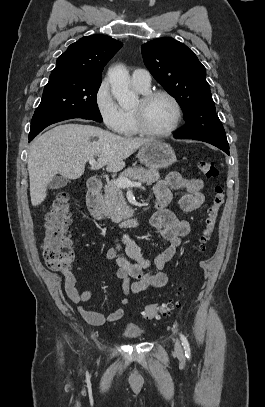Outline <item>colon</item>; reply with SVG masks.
I'll list each match as a JSON object with an SVG mask.
<instances>
[{
  "mask_svg": "<svg viewBox=\"0 0 265 407\" xmlns=\"http://www.w3.org/2000/svg\"><path fill=\"white\" fill-rule=\"evenodd\" d=\"M198 169L208 179L219 178V170L212 160L201 159ZM225 200L224 188L217 184L213 190L211 203L207 207L203 228L199 236V248L204 249L213 233L219 211ZM71 220V204L68 193H60L51 203L44 222L42 239V255L45 264L54 270L67 269L75 259V252L69 238L67 226ZM178 301L152 303L144 307L142 315L145 319L156 320L168 316L177 308Z\"/></svg>",
  "mask_w": 265,
  "mask_h": 407,
  "instance_id": "colon-1",
  "label": "colon"
}]
</instances>
